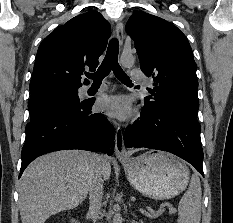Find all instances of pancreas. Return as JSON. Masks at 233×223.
Returning <instances> with one entry per match:
<instances>
[{"mask_svg":"<svg viewBox=\"0 0 233 223\" xmlns=\"http://www.w3.org/2000/svg\"><path fill=\"white\" fill-rule=\"evenodd\" d=\"M170 209H171L172 213H175V211H176L175 207H170ZM159 211H164V209H159Z\"/></svg>","mask_w":233,"mask_h":223,"instance_id":"pancreas-1","label":"pancreas"}]
</instances>
